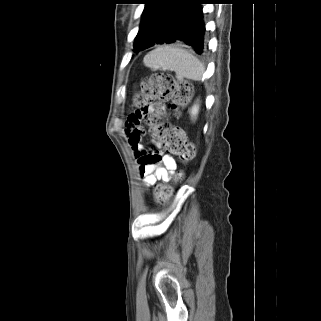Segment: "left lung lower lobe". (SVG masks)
I'll list each match as a JSON object with an SVG mask.
<instances>
[{
  "mask_svg": "<svg viewBox=\"0 0 321 321\" xmlns=\"http://www.w3.org/2000/svg\"><path fill=\"white\" fill-rule=\"evenodd\" d=\"M208 0H179L163 35L157 44L177 43L191 47L196 53L205 52V25L201 4Z\"/></svg>",
  "mask_w": 321,
  "mask_h": 321,
  "instance_id": "obj_1",
  "label": "left lung lower lobe"
}]
</instances>
